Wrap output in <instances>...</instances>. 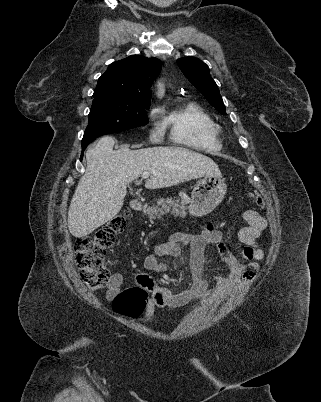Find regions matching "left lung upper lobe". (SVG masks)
I'll return each instance as SVG.
<instances>
[{
    "label": "left lung upper lobe",
    "mask_w": 321,
    "mask_h": 402,
    "mask_svg": "<svg viewBox=\"0 0 321 402\" xmlns=\"http://www.w3.org/2000/svg\"><path fill=\"white\" fill-rule=\"evenodd\" d=\"M177 64L185 77L203 94L207 101L221 114H226L219 89L212 79L208 65L194 57H184Z\"/></svg>",
    "instance_id": "left-lung-upper-lobe-1"
}]
</instances>
